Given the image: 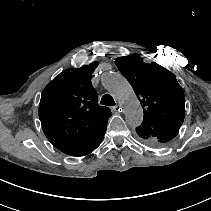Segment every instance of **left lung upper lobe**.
I'll use <instances>...</instances> for the list:
<instances>
[{
  "instance_id": "obj_1",
  "label": "left lung upper lobe",
  "mask_w": 211,
  "mask_h": 211,
  "mask_svg": "<svg viewBox=\"0 0 211 211\" xmlns=\"http://www.w3.org/2000/svg\"><path fill=\"white\" fill-rule=\"evenodd\" d=\"M120 72L133 87L143 108V122L136 128L141 141L159 148L179 132L185 115V97L175 76L153 62L146 64L137 55L115 60Z\"/></svg>"
}]
</instances>
